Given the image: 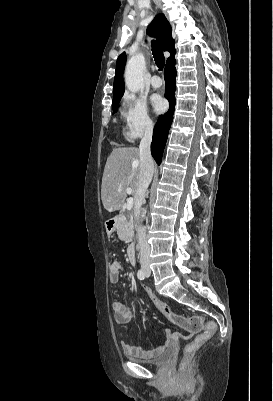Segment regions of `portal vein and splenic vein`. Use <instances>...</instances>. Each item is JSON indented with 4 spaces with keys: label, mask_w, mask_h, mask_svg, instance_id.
Wrapping results in <instances>:
<instances>
[{
    "label": "portal vein and splenic vein",
    "mask_w": 273,
    "mask_h": 401,
    "mask_svg": "<svg viewBox=\"0 0 273 401\" xmlns=\"http://www.w3.org/2000/svg\"><path fill=\"white\" fill-rule=\"evenodd\" d=\"M126 192L127 194H131L132 188H129L128 186V188H126ZM132 207H133V198L132 196H130V198H127V205H126L127 211H131Z\"/></svg>",
    "instance_id": "obj_1"
}]
</instances>
